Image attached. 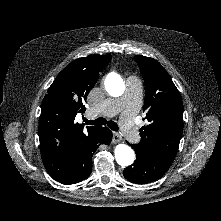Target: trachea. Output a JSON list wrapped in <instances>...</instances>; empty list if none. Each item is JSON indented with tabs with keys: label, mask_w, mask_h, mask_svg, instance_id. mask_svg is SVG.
<instances>
[{
	"label": "trachea",
	"mask_w": 221,
	"mask_h": 221,
	"mask_svg": "<svg viewBox=\"0 0 221 221\" xmlns=\"http://www.w3.org/2000/svg\"><path fill=\"white\" fill-rule=\"evenodd\" d=\"M83 121L87 124V125H107L110 129H112L113 131H118L119 127L117 125V123H115L114 121H107L105 118L103 117H99L96 120H88V119H83Z\"/></svg>",
	"instance_id": "1"
}]
</instances>
